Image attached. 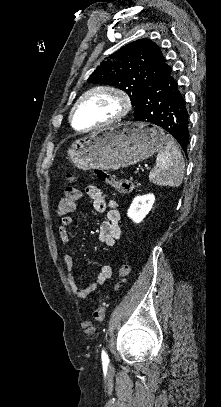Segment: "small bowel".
Returning <instances> with one entry per match:
<instances>
[{
  "mask_svg": "<svg viewBox=\"0 0 221 407\" xmlns=\"http://www.w3.org/2000/svg\"><path fill=\"white\" fill-rule=\"evenodd\" d=\"M86 193L91 199L94 209L99 213L106 214V220L103 221L99 227V240L107 246L115 244L121 236V229L118 225L121 218L118 200L108 199L103 190L95 185H89L86 188ZM72 223L73 219L71 217H64L61 218L60 225L58 226V235L64 246L71 244L68 227ZM63 258L68 282L72 292L79 299L87 298L91 293L95 292L100 285L105 284L111 278L112 269L109 265L105 264L101 267L100 272L93 282L88 286H81L74 275L75 265L72 255L66 253ZM82 327H86V324L83 323Z\"/></svg>",
  "mask_w": 221,
  "mask_h": 407,
  "instance_id": "obj_1",
  "label": "small bowel"
}]
</instances>
